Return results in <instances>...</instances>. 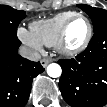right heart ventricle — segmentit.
Returning a JSON list of instances; mask_svg holds the SVG:
<instances>
[{"instance_id": "e07e8e85", "label": "right heart ventricle", "mask_w": 107, "mask_h": 107, "mask_svg": "<svg viewBox=\"0 0 107 107\" xmlns=\"http://www.w3.org/2000/svg\"><path fill=\"white\" fill-rule=\"evenodd\" d=\"M76 12L65 11L45 20L34 21L30 24L32 35L43 45L54 46L65 22Z\"/></svg>"}]
</instances>
